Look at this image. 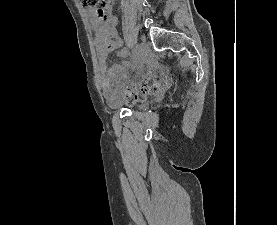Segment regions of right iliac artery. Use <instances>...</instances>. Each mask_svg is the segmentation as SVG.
Returning <instances> with one entry per match:
<instances>
[{
	"mask_svg": "<svg viewBox=\"0 0 277 225\" xmlns=\"http://www.w3.org/2000/svg\"><path fill=\"white\" fill-rule=\"evenodd\" d=\"M138 50H139V48L138 47H134L133 49H132V57H133V60H137V58H138Z\"/></svg>",
	"mask_w": 277,
	"mask_h": 225,
	"instance_id": "1",
	"label": "right iliac artery"
}]
</instances>
